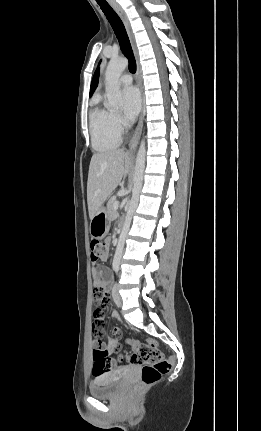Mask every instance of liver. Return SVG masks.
Segmentation results:
<instances>
[{"label": "liver", "instance_id": "liver-1", "mask_svg": "<svg viewBox=\"0 0 261 431\" xmlns=\"http://www.w3.org/2000/svg\"><path fill=\"white\" fill-rule=\"evenodd\" d=\"M131 158L123 149L95 153L90 161L87 203L90 219L129 172Z\"/></svg>", "mask_w": 261, "mask_h": 431}]
</instances>
